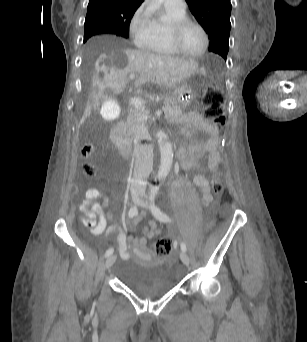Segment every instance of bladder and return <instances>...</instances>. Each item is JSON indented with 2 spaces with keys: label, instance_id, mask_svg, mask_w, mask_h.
Masks as SVG:
<instances>
[{
  "label": "bladder",
  "instance_id": "1",
  "mask_svg": "<svg viewBox=\"0 0 307 342\" xmlns=\"http://www.w3.org/2000/svg\"><path fill=\"white\" fill-rule=\"evenodd\" d=\"M119 277L129 290L145 297L162 296L178 285L171 270L132 259L124 262Z\"/></svg>",
  "mask_w": 307,
  "mask_h": 342
}]
</instances>
